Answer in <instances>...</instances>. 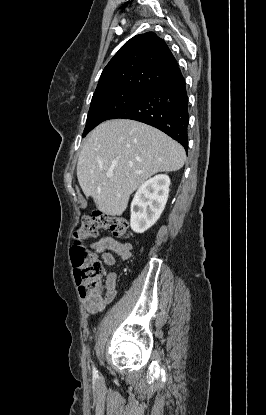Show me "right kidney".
Segmentation results:
<instances>
[{"label": "right kidney", "instance_id": "right-kidney-1", "mask_svg": "<svg viewBox=\"0 0 266 415\" xmlns=\"http://www.w3.org/2000/svg\"><path fill=\"white\" fill-rule=\"evenodd\" d=\"M170 178L160 174L144 182L131 203L130 226L135 233H144L162 214L169 194Z\"/></svg>", "mask_w": 266, "mask_h": 415}]
</instances>
